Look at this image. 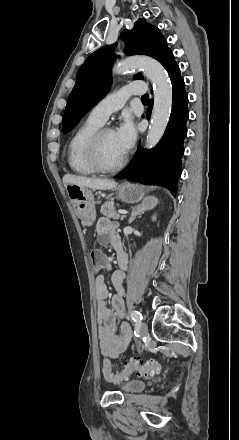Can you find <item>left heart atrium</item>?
I'll list each match as a JSON object with an SVG mask.
<instances>
[{"mask_svg": "<svg viewBox=\"0 0 239 440\" xmlns=\"http://www.w3.org/2000/svg\"><path fill=\"white\" fill-rule=\"evenodd\" d=\"M118 144L124 153H127L134 144L136 138V128L129 114H124L113 131Z\"/></svg>", "mask_w": 239, "mask_h": 440, "instance_id": "obj_1", "label": "left heart atrium"}]
</instances>
